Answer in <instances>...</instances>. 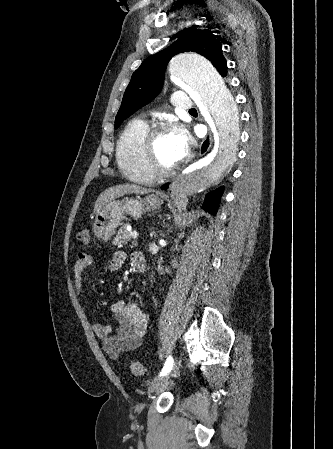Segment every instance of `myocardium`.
I'll return each instance as SVG.
<instances>
[{"instance_id": "obj_1", "label": "myocardium", "mask_w": 333, "mask_h": 449, "mask_svg": "<svg viewBox=\"0 0 333 449\" xmlns=\"http://www.w3.org/2000/svg\"><path fill=\"white\" fill-rule=\"evenodd\" d=\"M167 127L163 123H157L148 128V131L142 141V153L144 163L149 173L156 178H165L174 174L180 167L178 163L172 167H165L158 161L155 143L156 139L163 133L167 132Z\"/></svg>"}]
</instances>
